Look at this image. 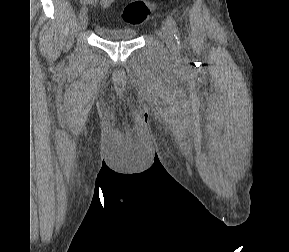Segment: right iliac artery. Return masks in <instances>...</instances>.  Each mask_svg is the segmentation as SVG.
Here are the masks:
<instances>
[{
  "mask_svg": "<svg viewBox=\"0 0 289 252\" xmlns=\"http://www.w3.org/2000/svg\"><path fill=\"white\" fill-rule=\"evenodd\" d=\"M87 11H88L87 7L84 6L80 9V14H85L87 13Z\"/></svg>",
  "mask_w": 289,
  "mask_h": 252,
  "instance_id": "right-iliac-artery-1",
  "label": "right iliac artery"
}]
</instances>
